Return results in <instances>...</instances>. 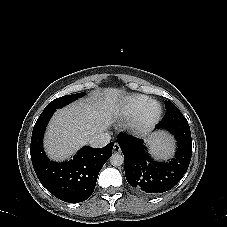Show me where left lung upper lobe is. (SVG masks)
<instances>
[{
	"instance_id": "left-lung-upper-lobe-1",
	"label": "left lung upper lobe",
	"mask_w": 227,
	"mask_h": 227,
	"mask_svg": "<svg viewBox=\"0 0 227 227\" xmlns=\"http://www.w3.org/2000/svg\"><path fill=\"white\" fill-rule=\"evenodd\" d=\"M172 106H174V104L171 101H166V110Z\"/></svg>"
}]
</instances>
